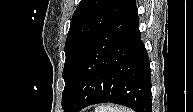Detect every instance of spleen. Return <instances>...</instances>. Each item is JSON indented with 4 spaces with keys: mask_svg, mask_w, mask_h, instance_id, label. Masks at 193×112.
Listing matches in <instances>:
<instances>
[{
    "mask_svg": "<svg viewBox=\"0 0 193 112\" xmlns=\"http://www.w3.org/2000/svg\"><path fill=\"white\" fill-rule=\"evenodd\" d=\"M96 112H131V110L123 107H112L109 105H103L99 109H96Z\"/></svg>",
    "mask_w": 193,
    "mask_h": 112,
    "instance_id": "1",
    "label": "spleen"
}]
</instances>
